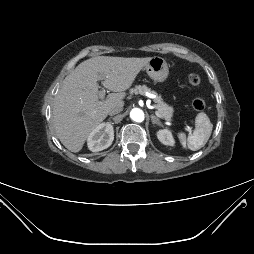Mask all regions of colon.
<instances>
[{"mask_svg": "<svg viewBox=\"0 0 254 254\" xmlns=\"http://www.w3.org/2000/svg\"><path fill=\"white\" fill-rule=\"evenodd\" d=\"M188 83L191 86H198L201 83V77L200 75L196 74V73H191L188 76ZM192 107L194 110L196 111H201L204 109L205 107V101L203 98L201 97H197L193 100L192 102Z\"/></svg>", "mask_w": 254, "mask_h": 254, "instance_id": "obj_1", "label": "colon"}]
</instances>
